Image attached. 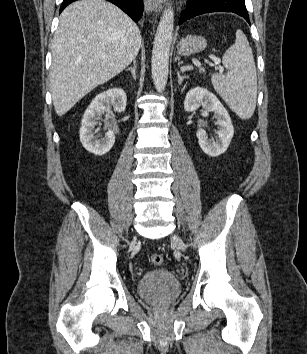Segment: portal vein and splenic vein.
I'll list each match as a JSON object with an SVG mask.
<instances>
[{
    "label": "portal vein and splenic vein",
    "mask_w": 307,
    "mask_h": 354,
    "mask_svg": "<svg viewBox=\"0 0 307 354\" xmlns=\"http://www.w3.org/2000/svg\"><path fill=\"white\" fill-rule=\"evenodd\" d=\"M210 59L213 61L214 65L217 66L220 64L221 60L214 57V56H210Z\"/></svg>",
    "instance_id": "portal-vein-and-splenic-vein-1"
}]
</instances>
